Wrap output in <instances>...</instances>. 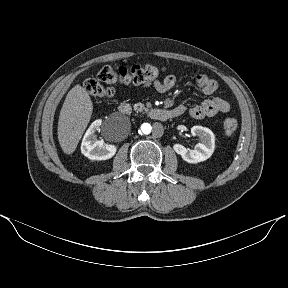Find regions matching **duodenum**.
Segmentation results:
<instances>
[{"label":"duodenum","instance_id":"obj_1","mask_svg":"<svg viewBox=\"0 0 288 288\" xmlns=\"http://www.w3.org/2000/svg\"><path fill=\"white\" fill-rule=\"evenodd\" d=\"M132 109L128 103H122L119 106V112L123 115H130ZM182 114L179 109H165V108H153L149 111L150 118L158 121H166L170 118L178 117Z\"/></svg>","mask_w":288,"mask_h":288}]
</instances>
